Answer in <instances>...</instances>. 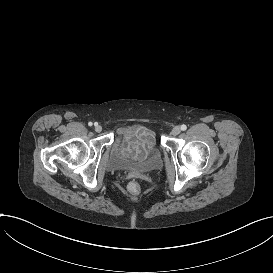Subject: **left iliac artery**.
Masks as SVG:
<instances>
[{"instance_id":"left-iliac-artery-1","label":"left iliac artery","mask_w":273,"mask_h":273,"mask_svg":"<svg viewBox=\"0 0 273 273\" xmlns=\"http://www.w3.org/2000/svg\"><path fill=\"white\" fill-rule=\"evenodd\" d=\"M187 129V126L186 125H181V130L185 131Z\"/></svg>"}]
</instances>
